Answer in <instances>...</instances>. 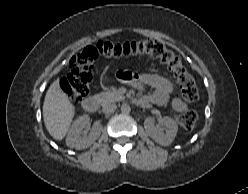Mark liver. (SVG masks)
I'll return each mask as SVG.
<instances>
[{
	"instance_id": "1",
	"label": "liver",
	"mask_w": 248,
	"mask_h": 194,
	"mask_svg": "<svg viewBox=\"0 0 248 194\" xmlns=\"http://www.w3.org/2000/svg\"><path fill=\"white\" fill-rule=\"evenodd\" d=\"M75 115V107L62 92L59 79L47 90L43 104V119L49 134L56 140H62Z\"/></svg>"
}]
</instances>
